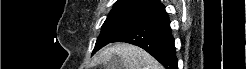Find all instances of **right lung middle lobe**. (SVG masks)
<instances>
[{"instance_id":"1","label":"right lung middle lobe","mask_w":246,"mask_h":69,"mask_svg":"<svg viewBox=\"0 0 246 69\" xmlns=\"http://www.w3.org/2000/svg\"><path fill=\"white\" fill-rule=\"evenodd\" d=\"M142 16H121L115 18H107L102 26L101 33L96 41L93 53L111 43L115 38L126 30L132 28L142 21Z\"/></svg>"}]
</instances>
